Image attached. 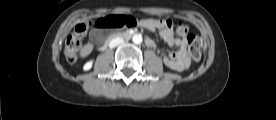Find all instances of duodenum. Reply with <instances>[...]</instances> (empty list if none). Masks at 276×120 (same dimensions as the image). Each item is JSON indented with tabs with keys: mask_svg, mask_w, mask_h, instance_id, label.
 <instances>
[{
	"mask_svg": "<svg viewBox=\"0 0 276 120\" xmlns=\"http://www.w3.org/2000/svg\"><path fill=\"white\" fill-rule=\"evenodd\" d=\"M137 35L136 32H129V31H123V32H118L115 33L114 35H112L104 44H103V48H105L111 41L116 40V39H130L133 36ZM145 43L146 45L150 43V40L147 38L145 39Z\"/></svg>",
	"mask_w": 276,
	"mask_h": 120,
	"instance_id": "obj_1",
	"label": "duodenum"
}]
</instances>
